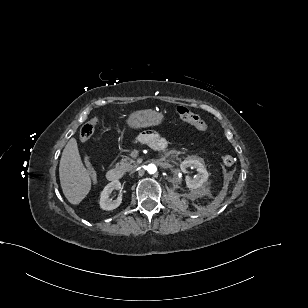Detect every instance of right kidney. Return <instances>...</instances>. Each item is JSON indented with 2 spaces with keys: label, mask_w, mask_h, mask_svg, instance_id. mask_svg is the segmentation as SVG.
Instances as JSON below:
<instances>
[{
  "label": "right kidney",
  "mask_w": 308,
  "mask_h": 308,
  "mask_svg": "<svg viewBox=\"0 0 308 308\" xmlns=\"http://www.w3.org/2000/svg\"><path fill=\"white\" fill-rule=\"evenodd\" d=\"M116 189H121V183L118 180H114L107 184L100 194V207L103 210L110 211L116 209L122 202V197L119 196L116 200H112L109 198L111 192Z\"/></svg>",
  "instance_id": "1"
}]
</instances>
